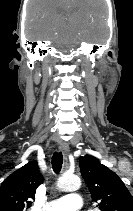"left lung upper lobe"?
<instances>
[{"label":"left lung upper lobe","mask_w":133,"mask_h":211,"mask_svg":"<svg viewBox=\"0 0 133 211\" xmlns=\"http://www.w3.org/2000/svg\"><path fill=\"white\" fill-rule=\"evenodd\" d=\"M79 163L92 201L101 211H133V197L116 173L91 155L80 157Z\"/></svg>","instance_id":"1"}]
</instances>
